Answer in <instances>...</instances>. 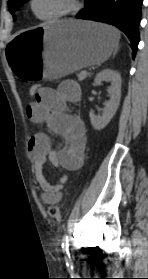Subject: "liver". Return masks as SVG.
Listing matches in <instances>:
<instances>
[{"mask_svg":"<svg viewBox=\"0 0 148 279\" xmlns=\"http://www.w3.org/2000/svg\"><path fill=\"white\" fill-rule=\"evenodd\" d=\"M72 22L79 24L81 21H72Z\"/></svg>","mask_w":148,"mask_h":279,"instance_id":"liver-1","label":"liver"}]
</instances>
